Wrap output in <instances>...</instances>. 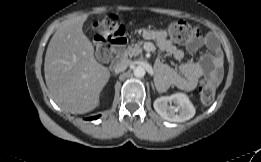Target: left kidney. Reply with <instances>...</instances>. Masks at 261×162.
<instances>
[{"instance_id": "5707ae66", "label": "left kidney", "mask_w": 261, "mask_h": 162, "mask_svg": "<svg viewBox=\"0 0 261 162\" xmlns=\"http://www.w3.org/2000/svg\"><path fill=\"white\" fill-rule=\"evenodd\" d=\"M174 103L169 106L168 103ZM155 111L165 120L184 122L195 115V107L184 93H175L171 96H162L153 103Z\"/></svg>"}]
</instances>
